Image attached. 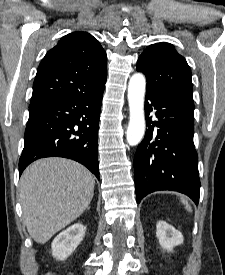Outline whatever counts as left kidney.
<instances>
[{
	"label": "left kidney",
	"instance_id": "5707ae66",
	"mask_svg": "<svg viewBox=\"0 0 225 275\" xmlns=\"http://www.w3.org/2000/svg\"><path fill=\"white\" fill-rule=\"evenodd\" d=\"M156 236L160 246L168 252H171L175 246L182 244L184 241L181 232L164 221L157 222Z\"/></svg>",
	"mask_w": 225,
	"mask_h": 275
}]
</instances>
